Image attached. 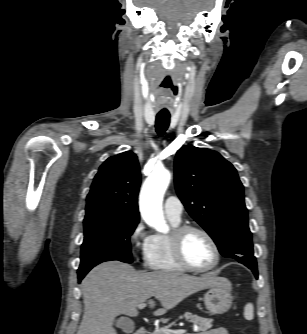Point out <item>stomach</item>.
Instances as JSON below:
<instances>
[{"label": "stomach", "mask_w": 307, "mask_h": 334, "mask_svg": "<svg viewBox=\"0 0 307 334\" xmlns=\"http://www.w3.org/2000/svg\"><path fill=\"white\" fill-rule=\"evenodd\" d=\"M218 284L211 287L204 295V303L211 314L227 312L233 301L231 295L232 285L227 278L217 277Z\"/></svg>", "instance_id": "1"}]
</instances>
